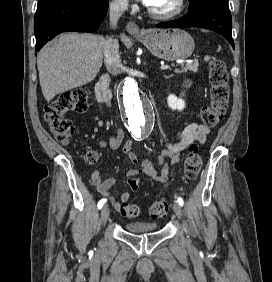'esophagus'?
Instances as JSON below:
<instances>
[{"label": "esophagus", "mask_w": 272, "mask_h": 282, "mask_svg": "<svg viewBox=\"0 0 272 282\" xmlns=\"http://www.w3.org/2000/svg\"><path fill=\"white\" fill-rule=\"evenodd\" d=\"M126 30L128 33L132 34V35H137L140 33V29L138 27V25L134 22H128L126 25Z\"/></svg>", "instance_id": "1"}]
</instances>
